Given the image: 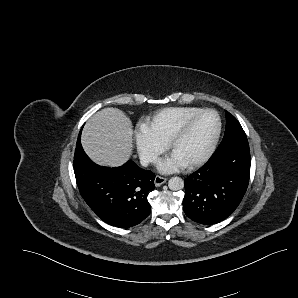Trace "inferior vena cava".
<instances>
[{
	"label": "inferior vena cava",
	"instance_id": "602c4592",
	"mask_svg": "<svg viewBox=\"0 0 298 298\" xmlns=\"http://www.w3.org/2000/svg\"><path fill=\"white\" fill-rule=\"evenodd\" d=\"M155 158L156 156L152 153H142L139 156L140 163L144 167H146L150 162H153Z\"/></svg>",
	"mask_w": 298,
	"mask_h": 298
}]
</instances>
